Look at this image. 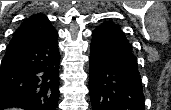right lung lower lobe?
Segmentation results:
<instances>
[{
  "instance_id": "obj_1",
  "label": "right lung lower lobe",
  "mask_w": 171,
  "mask_h": 110,
  "mask_svg": "<svg viewBox=\"0 0 171 110\" xmlns=\"http://www.w3.org/2000/svg\"><path fill=\"white\" fill-rule=\"evenodd\" d=\"M57 31L47 40L17 54V60L1 67L0 110H56L59 98Z\"/></svg>"
}]
</instances>
